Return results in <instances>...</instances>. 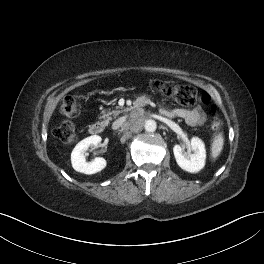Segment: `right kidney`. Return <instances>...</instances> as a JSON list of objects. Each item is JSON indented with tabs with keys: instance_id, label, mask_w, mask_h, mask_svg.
Masks as SVG:
<instances>
[{
	"instance_id": "ca27d5eb",
	"label": "right kidney",
	"mask_w": 264,
	"mask_h": 264,
	"mask_svg": "<svg viewBox=\"0 0 264 264\" xmlns=\"http://www.w3.org/2000/svg\"><path fill=\"white\" fill-rule=\"evenodd\" d=\"M101 142V137L93 135L80 141L71 153L72 167L80 173L95 174L103 170L107 162L104 158L97 157L91 162L86 161L85 152L90 146H97Z\"/></svg>"
}]
</instances>
